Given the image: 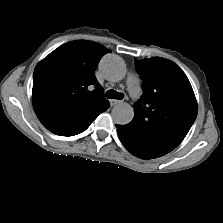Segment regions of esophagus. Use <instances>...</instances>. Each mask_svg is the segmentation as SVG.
Masks as SVG:
<instances>
[{"mask_svg": "<svg viewBox=\"0 0 223 223\" xmlns=\"http://www.w3.org/2000/svg\"><path fill=\"white\" fill-rule=\"evenodd\" d=\"M120 102H121V101H119V100L111 99V100H110V105H111V106H115V105L119 104Z\"/></svg>", "mask_w": 223, "mask_h": 223, "instance_id": "obj_1", "label": "esophagus"}]
</instances>
